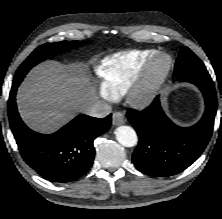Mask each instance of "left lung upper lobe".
Returning <instances> with one entry per match:
<instances>
[{
  "mask_svg": "<svg viewBox=\"0 0 222 219\" xmlns=\"http://www.w3.org/2000/svg\"><path fill=\"white\" fill-rule=\"evenodd\" d=\"M174 75L181 81L209 87L214 85L203 62L188 47L181 48L175 64Z\"/></svg>",
  "mask_w": 222,
  "mask_h": 219,
  "instance_id": "5c2ea615",
  "label": "left lung upper lobe"
}]
</instances>
